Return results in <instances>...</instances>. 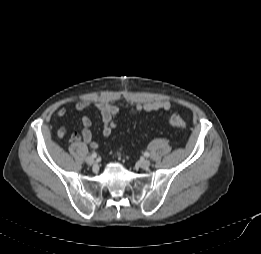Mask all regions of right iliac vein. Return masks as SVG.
<instances>
[{
	"label": "right iliac vein",
	"mask_w": 261,
	"mask_h": 254,
	"mask_svg": "<svg viewBox=\"0 0 261 254\" xmlns=\"http://www.w3.org/2000/svg\"><path fill=\"white\" fill-rule=\"evenodd\" d=\"M85 161L88 165H94L95 163V159L92 156L86 157Z\"/></svg>",
	"instance_id": "obj_1"
}]
</instances>
